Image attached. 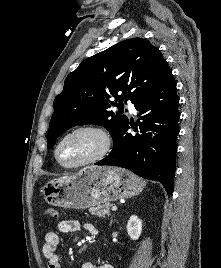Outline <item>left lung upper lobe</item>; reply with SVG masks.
<instances>
[{
    "mask_svg": "<svg viewBox=\"0 0 221 268\" xmlns=\"http://www.w3.org/2000/svg\"><path fill=\"white\" fill-rule=\"evenodd\" d=\"M172 77L158 48L142 38L124 40L89 57L67 76L53 102L47 147L69 128L84 124L104 126L114 139L128 118L110 111L111 105L122 109L123 99L135 104Z\"/></svg>",
    "mask_w": 221,
    "mask_h": 268,
    "instance_id": "5c2ea615",
    "label": "left lung upper lobe"
}]
</instances>
